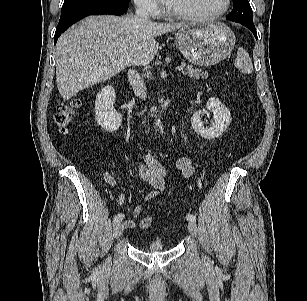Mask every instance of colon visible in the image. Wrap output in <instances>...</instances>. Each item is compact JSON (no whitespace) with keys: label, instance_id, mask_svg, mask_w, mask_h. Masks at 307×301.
<instances>
[{"label":"colon","instance_id":"colon-1","mask_svg":"<svg viewBox=\"0 0 307 301\" xmlns=\"http://www.w3.org/2000/svg\"><path fill=\"white\" fill-rule=\"evenodd\" d=\"M81 106V101L75 99L69 103H63L57 106L53 115L55 124L62 130H67L75 111ZM153 218L150 216L143 217L140 222L141 228H148L151 226Z\"/></svg>","mask_w":307,"mask_h":301}]
</instances>
